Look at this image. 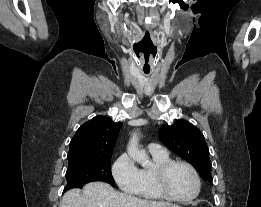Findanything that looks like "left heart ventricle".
Wrapping results in <instances>:
<instances>
[{"mask_svg": "<svg viewBox=\"0 0 261 207\" xmlns=\"http://www.w3.org/2000/svg\"><path fill=\"white\" fill-rule=\"evenodd\" d=\"M167 187L172 195L186 198L195 192V180L185 166L175 165L168 172Z\"/></svg>", "mask_w": 261, "mask_h": 207, "instance_id": "1", "label": "left heart ventricle"}]
</instances>
